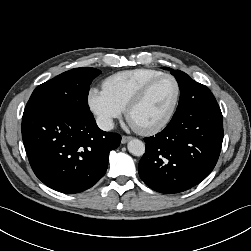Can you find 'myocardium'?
Returning <instances> with one entry per match:
<instances>
[{
  "instance_id": "f54148a6",
  "label": "myocardium",
  "mask_w": 251,
  "mask_h": 251,
  "mask_svg": "<svg viewBox=\"0 0 251 251\" xmlns=\"http://www.w3.org/2000/svg\"><path fill=\"white\" fill-rule=\"evenodd\" d=\"M163 78H170L174 84H175V96L172 102V105L169 109V111L167 112V114L157 123H154L152 125H148V126H137L132 122L131 119V115L132 112L134 111V109L136 107H138L143 100L145 99V97L147 96L148 92L150 91V89L152 88V86L157 83L159 80L163 79ZM180 95H181V87L180 84L177 80V78L169 73H162L154 78H152L151 80H149L148 82H146L141 88L140 90L134 95V97L130 100V102L128 103L127 107H126V118L128 120V122L139 132L144 133V134H152V133H156L160 130H162L163 128H165L170 121L172 120L178 103H179V99H180Z\"/></svg>"
}]
</instances>
